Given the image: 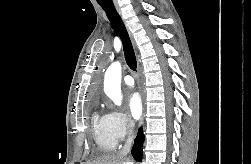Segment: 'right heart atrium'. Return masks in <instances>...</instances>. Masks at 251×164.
I'll list each match as a JSON object with an SVG mask.
<instances>
[{"label":"right heart atrium","instance_id":"d8ad5b80","mask_svg":"<svg viewBox=\"0 0 251 164\" xmlns=\"http://www.w3.org/2000/svg\"><path fill=\"white\" fill-rule=\"evenodd\" d=\"M111 133L117 141L125 139L132 131V121L121 111L112 110L106 114Z\"/></svg>","mask_w":251,"mask_h":164}]
</instances>
